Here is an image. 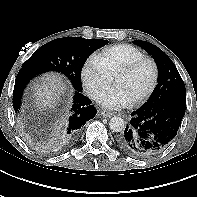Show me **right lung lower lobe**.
I'll return each instance as SVG.
<instances>
[{"label":"right lung lower lobe","instance_id":"98d812e1","mask_svg":"<svg viewBox=\"0 0 197 197\" xmlns=\"http://www.w3.org/2000/svg\"><path fill=\"white\" fill-rule=\"evenodd\" d=\"M41 73L29 70L20 69L14 86L13 105L15 111L20 109L23 91L28 82L35 76ZM97 110L89 98L84 96L82 92L75 91L73 101L68 108L65 116L57 122L54 128V135L56 140L60 143H72L80 131V128L85 123L94 118Z\"/></svg>","mask_w":197,"mask_h":197}]
</instances>
